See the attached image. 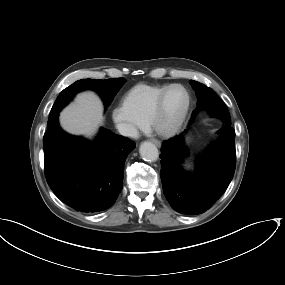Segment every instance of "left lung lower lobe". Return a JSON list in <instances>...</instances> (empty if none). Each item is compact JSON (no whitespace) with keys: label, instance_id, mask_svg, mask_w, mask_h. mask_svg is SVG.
<instances>
[{"label":"left lung lower lobe","instance_id":"0a47b994","mask_svg":"<svg viewBox=\"0 0 285 285\" xmlns=\"http://www.w3.org/2000/svg\"><path fill=\"white\" fill-rule=\"evenodd\" d=\"M224 102L212 104L221 109ZM221 138L211 144L207 156L199 160L200 174L182 169L187 155L182 134L163 142L161 149V180L166 199L174 210L184 214H200L208 210L231 182L236 165L235 130L225 121L218 131Z\"/></svg>","mask_w":285,"mask_h":285}]
</instances>
